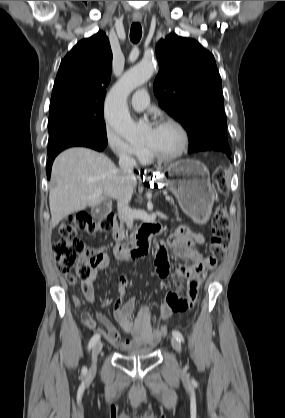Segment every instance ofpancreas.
Returning <instances> with one entry per match:
<instances>
[{
	"instance_id": "cf45deb5",
	"label": "pancreas",
	"mask_w": 285,
	"mask_h": 418,
	"mask_svg": "<svg viewBox=\"0 0 285 418\" xmlns=\"http://www.w3.org/2000/svg\"><path fill=\"white\" fill-rule=\"evenodd\" d=\"M171 202L173 203V200L171 199ZM176 208V207H175ZM177 209V208H176ZM122 237L124 238V239H128V236L127 235H125L124 233L122 234ZM130 239H131V242H133L134 241V237H133V235H131L130 236Z\"/></svg>"
}]
</instances>
